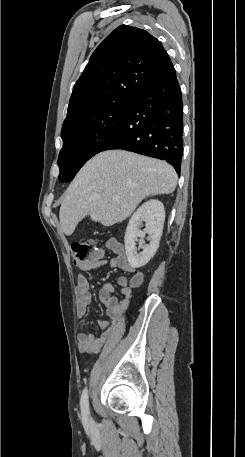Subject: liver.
I'll return each mask as SVG.
<instances>
[{"label": "liver", "instance_id": "1", "mask_svg": "<svg viewBox=\"0 0 245 457\" xmlns=\"http://www.w3.org/2000/svg\"><path fill=\"white\" fill-rule=\"evenodd\" d=\"M178 176L171 164L128 150H104L90 158L70 186L59 210L64 235H72L79 220L90 214L104 226L125 220L151 194H168ZM119 196V202L113 196Z\"/></svg>", "mask_w": 245, "mask_h": 457}]
</instances>
